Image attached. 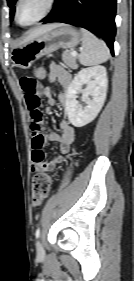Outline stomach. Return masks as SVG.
I'll return each mask as SVG.
<instances>
[{
	"instance_id": "0dacf381",
	"label": "stomach",
	"mask_w": 134,
	"mask_h": 281,
	"mask_svg": "<svg viewBox=\"0 0 134 281\" xmlns=\"http://www.w3.org/2000/svg\"><path fill=\"white\" fill-rule=\"evenodd\" d=\"M81 38V33L74 27L57 24V27L15 47L11 51V61L16 67L28 69L37 59L46 54L59 48L68 49L77 46Z\"/></svg>"
}]
</instances>
